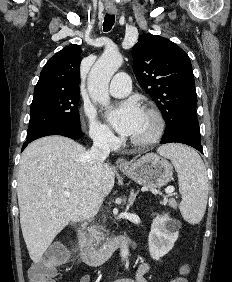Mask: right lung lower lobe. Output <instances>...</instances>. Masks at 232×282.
Wrapping results in <instances>:
<instances>
[{
    "instance_id": "obj_1",
    "label": "right lung lower lobe",
    "mask_w": 232,
    "mask_h": 282,
    "mask_svg": "<svg viewBox=\"0 0 232 282\" xmlns=\"http://www.w3.org/2000/svg\"><path fill=\"white\" fill-rule=\"evenodd\" d=\"M48 135H62L69 137L71 139H78L82 137L83 133L80 131V129L65 124H58L51 127H47L36 133L29 135L27 137L26 142H24L22 146V151L25 149L28 143Z\"/></svg>"
}]
</instances>
